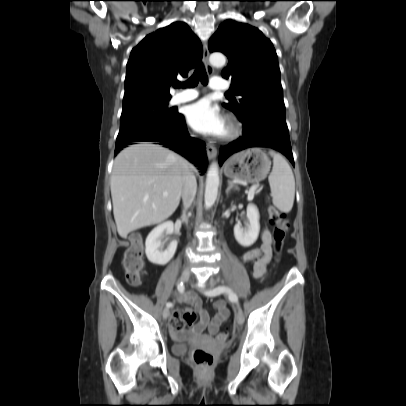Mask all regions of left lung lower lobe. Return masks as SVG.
<instances>
[{
  "label": "left lung lower lobe",
  "instance_id": "0a47b994",
  "mask_svg": "<svg viewBox=\"0 0 406 406\" xmlns=\"http://www.w3.org/2000/svg\"><path fill=\"white\" fill-rule=\"evenodd\" d=\"M241 122L243 123L242 136L227 146L221 147L220 164L230 155L245 148L268 147L284 154L294 165L285 119L273 115H255Z\"/></svg>",
  "mask_w": 406,
  "mask_h": 406
}]
</instances>
